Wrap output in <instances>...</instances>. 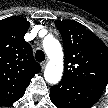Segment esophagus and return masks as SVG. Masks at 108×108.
I'll return each instance as SVG.
<instances>
[{
    "label": "esophagus",
    "mask_w": 108,
    "mask_h": 108,
    "mask_svg": "<svg viewBox=\"0 0 108 108\" xmlns=\"http://www.w3.org/2000/svg\"><path fill=\"white\" fill-rule=\"evenodd\" d=\"M46 64H47L46 61L42 62V63L40 64V65H41V68L44 69V68L46 67Z\"/></svg>",
    "instance_id": "1"
}]
</instances>
